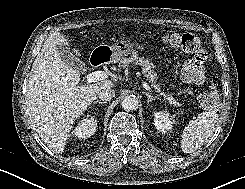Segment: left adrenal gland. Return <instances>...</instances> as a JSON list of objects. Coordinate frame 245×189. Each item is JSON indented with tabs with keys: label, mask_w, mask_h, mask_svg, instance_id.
I'll return each instance as SVG.
<instances>
[{
	"label": "left adrenal gland",
	"mask_w": 245,
	"mask_h": 189,
	"mask_svg": "<svg viewBox=\"0 0 245 189\" xmlns=\"http://www.w3.org/2000/svg\"><path fill=\"white\" fill-rule=\"evenodd\" d=\"M144 94L147 96V103H151L153 100H161L159 97L152 96L148 92H144Z\"/></svg>",
	"instance_id": "left-adrenal-gland-1"
}]
</instances>
